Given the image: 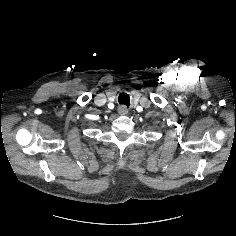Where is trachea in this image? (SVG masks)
Instances as JSON below:
<instances>
[{
  "instance_id": "trachea-1",
  "label": "trachea",
  "mask_w": 236,
  "mask_h": 236,
  "mask_svg": "<svg viewBox=\"0 0 236 236\" xmlns=\"http://www.w3.org/2000/svg\"><path fill=\"white\" fill-rule=\"evenodd\" d=\"M118 102L120 104H123V105L129 107V105H130V97H129V95L127 93H121L119 95V97H118Z\"/></svg>"
}]
</instances>
